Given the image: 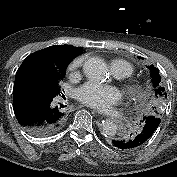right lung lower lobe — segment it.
Listing matches in <instances>:
<instances>
[{
    "label": "right lung lower lobe",
    "mask_w": 177,
    "mask_h": 177,
    "mask_svg": "<svg viewBox=\"0 0 177 177\" xmlns=\"http://www.w3.org/2000/svg\"><path fill=\"white\" fill-rule=\"evenodd\" d=\"M55 97L14 86L13 110L18 122L29 134L49 136L65 125L68 113L54 106Z\"/></svg>",
    "instance_id": "98d812e1"
}]
</instances>
